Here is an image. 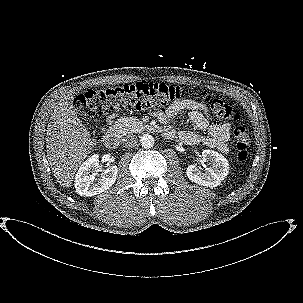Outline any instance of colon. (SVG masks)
I'll return each mask as SVG.
<instances>
[{
	"instance_id": "1",
	"label": "colon",
	"mask_w": 303,
	"mask_h": 303,
	"mask_svg": "<svg viewBox=\"0 0 303 303\" xmlns=\"http://www.w3.org/2000/svg\"><path fill=\"white\" fill-rule=\"evenodd\" d=\"M185 91L175 85L160 82H138L99 90H87L74 100V108L90 127L104 115L120 110L161 109L180 100ZM210 111L221 121H236L239 113L220 99L209 98ZM236 155L246 160L251 144V134L243 127L234 130Z\"/></svg>"
}]
</instances>
